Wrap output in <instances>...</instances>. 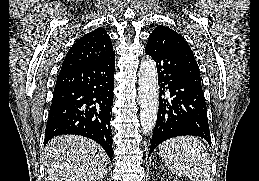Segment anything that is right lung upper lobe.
<instances>
[{
	"instance_id": "cb5924a9",
	"label": "right lung upper lobe",
	"mask_w": 259,
	"mask_h": 181,
	"mask_svg": "<svg viewBox=\"0 0 259 181\" xmlns=\"http://www.w3.org/2000/svg\"><path fill=\"white\" fill-rule=\"evenodd\" d=\"M111 55H114V50L110 37L107 31L100 27L87 33L73 44L66 54L61 71L93 64Z\"/></svg>"
}]
</instances>
